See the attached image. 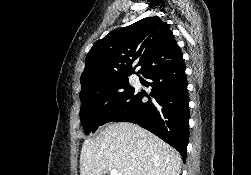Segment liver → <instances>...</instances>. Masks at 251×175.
Returning a JSON list of instances; mask_svg holds the SVG:
<instances>
[{
  "label": "liver",
  "mask_w": 251,
  "mask_h": 175,
  "mask_svg": "<svg viewBox=\"0 0 251 175\" xmlns=\"http://www.w3.org/2000/svg\"><path fill=\"white\" fill-rule=\"evenodd\" d=\"M180 175L181 155L160 137L135 123H110L83 141L80 175Z\"/></svg>",
  "instance_id": "6515ba94"
}]
</instances>
